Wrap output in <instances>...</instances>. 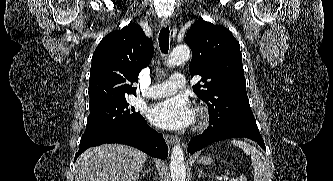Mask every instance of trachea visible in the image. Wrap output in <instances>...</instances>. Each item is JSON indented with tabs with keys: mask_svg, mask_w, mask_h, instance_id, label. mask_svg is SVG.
<instances>
[{
	"mask_svg": "<svg viewBox=\"0 0 333 181\" xmlns=\"http://www.w3.org/2000/svg\"><path fill=\"white\" fill-rule=\"evenodd\" d=\"M169 27L162 28L159 33V46L162 53L167 54L169 49Z\"/></svg>",
	"mask_w": 333,
	"mask_h": 181,
	"instance_id": "3493384b",
	"label": "trachea"
}]
</instances>
